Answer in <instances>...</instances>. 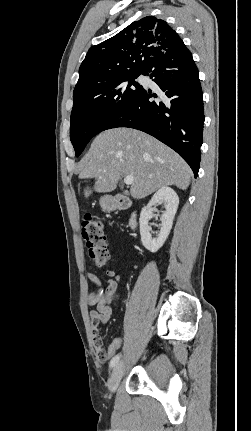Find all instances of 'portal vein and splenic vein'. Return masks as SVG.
Here are the masks:
<instances>
[{"instance_id":"1","label":"portal vein and splenic vein","mask_w":251,"mask_h":431,"mask_svg":"<svg viewBox=\"0 0 251 431\" xmlns=\"http://www.w3.org/2000/svg\"><path fill=\"white\" fill-rule=\"evenodd\" d=\"M134 182V177L133 176H126L124 178V183L126 185H131Z\"/></svg>"}]
</instances>
